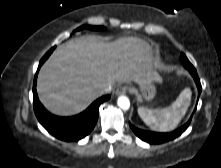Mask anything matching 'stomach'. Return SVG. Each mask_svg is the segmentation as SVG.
Masks as SVG:
<instances>
[{"label": "stomach", "mask_w": 221, "mask_h": 168, "mask_svg": "<svg viewBox=\"0 0 221 168\" xmlns=\"http://www.w3.org/2000/svg\"><path fill=\"white\" fill-rule=\"evenodd\" d=\"M158 80V77H154L149 81H146L142 84H139V89H136L135 92L138 97H144L146 100H151L156 92L155 82Z\"/></svg>", "instance_id": "stomach-1"}]
</instances>
